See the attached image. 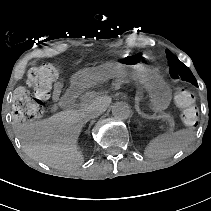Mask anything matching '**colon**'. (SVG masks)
I'll use <instances>...</instances> for the list:
<instances>
[{
  "instance_id": "colon-1",
  "label": "colon",
  "mask_w": 211,
  "mask_h": 211,
  "mask_svg": "<svg viewBox=\"0 0 211 211\" xmlns=\"http://www.w3.org/2000/svg\"><path fill=\"white\" fill-rule=\"evenodd\" d=\"M60 68L57 64L47 63L31 69L27 76L28 86L33 90L19 88L13 96L12 117L20 124H27L43 116L45 107L43 100L52 94L53 84L57 81ZM174 99L181 109V118L188 127H195L198 123V108L192 92L185 88L175 91Z\"/></svg>"
}]
</instances>
